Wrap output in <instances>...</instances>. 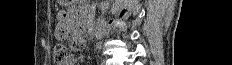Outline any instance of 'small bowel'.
<instances>
[{
  "label": "small bowel",
  "mask_w": 232,
  "mask_h": 65,
  "mask_svg": "<svg viewBox=\"0 0 232 65\" xmlns=\"http://www.w3.org/2000/svg\"><path fill=\"white\" fill-rule=\"evenodd\" d=\"M58 16L55 17L56 21H60L59 26L55 29L54 37H59L60 45H70V47L80 48L82 47V41L77 39L74 28V23H67L68 17H78V12H58ZM73 57H69L61 65H73Z\"/></svg>",
  "instance_id": "c3829d8e"
}]
</instances>
